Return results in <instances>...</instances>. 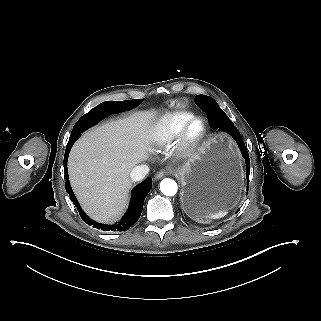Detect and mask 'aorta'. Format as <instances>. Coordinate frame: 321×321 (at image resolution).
Returning a JSON list of instances; mask_svg holds the SVG:
<instances>
[{"instance_id": "762f6f07", "label": "aorta", "mask_w": 321, "mask_h": 321, "mask_svg": "<svg viewBox=\"0 0 321 321\" xmlns=\"http://www.w3.org/2000/svg\"><path fill=\"white\" fill-rule=\"evenodd\" d=\"M160 190L166 196H173L177 193V183L169 178L163 179L160 183Z\"/></svg>"}]
</instances>
